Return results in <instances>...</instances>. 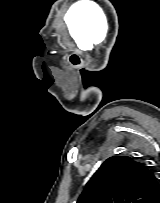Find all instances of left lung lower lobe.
<instances>
[{
  "label": "left lung lower lobe",
  "instance_id": "obj_1",
  "mask_svg": "<svg viewBox=\"0 0 160 203\" xmlns=\"http://www.w3.org/2000/svg\"><path fill=\"white\" fill-rule=\"evenodd\" d=\"M155 203H160V197L157 199V201Z\"/></svg>",
  "mask_w": 160,
  "mask_h": 203
}]
</instances>
